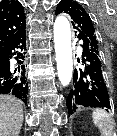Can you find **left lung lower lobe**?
Wrapping results in <instances>:
<instances>
[{
  "mask_svg": "<svg viewBox=\"0 0 117 136\" xmlns=\"http://www.w3.org/2000/svg\"><path fill=\"white\" fill-rule=\"evenodd\" d=\"M82 40L83 68L75 69L73 83L67 97L69 115L82 107H100L110 109L109 95L104 79L100 57L91 51L87 39L77 34Z\"/></svg>",
  "mask_w": 117,
  "mask_h": 136,
  "instance_id": "0a47b994",
  "label": "left lung lower lobe"
}]
</instances>
